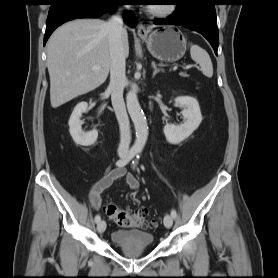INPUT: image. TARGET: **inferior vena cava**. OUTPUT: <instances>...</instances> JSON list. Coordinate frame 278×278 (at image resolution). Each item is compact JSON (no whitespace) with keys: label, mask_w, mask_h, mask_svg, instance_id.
Wrapping results in <instances>:
<instances>
[{"label":"inferior vena cava","mask_w":278,"mask_h":278,"mask_svg":"<svg viewBox=\"0 0 278 278\" xmlns=\"http://www.w3.org/2000/svg\"><path fill=\"white\" fill-rule=\"evenodd\" d=\"M122 10L119 8L116 14L106 23L109 29L110 44V84L112 105L120 128V143L118 152L127 154L131 142L130 123L127 115L123 90L127 82L125 75V54L122 40L123 19Z\"/></svg>","instance_id":"1"}]
</instances>
